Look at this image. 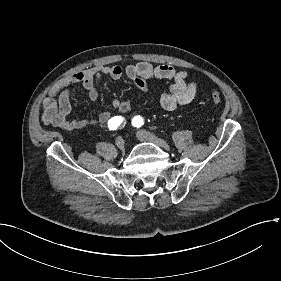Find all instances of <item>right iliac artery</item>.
<instances>
[{
  "mask_svg": "<svg viewBox=\"0 0 281 281\" xmlns=\"http://www.w3.org/2000/svg\"><path fill=\"white\" fill-rule=\"evenodd\" d=\"M126 122L123 117L115 116L108 121V127L110 130L121 129L125 126Z\"/></svg>",
  "mask_w": 281,
  "mask_h": 281,
  "instance_id": "obj_1",
  "label": "right iliac artery"
}]
</instances>
